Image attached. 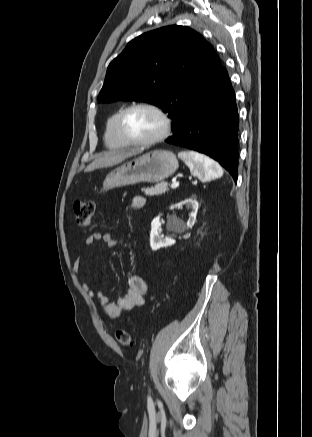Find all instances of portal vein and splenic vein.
Returning a JSON list of instances; mask_svg holds the SVG:
<instances>
[{"label":"portal vein and splenic vein","mask_w":312,"mask_h":437,"mask_svg":"<svg viewBox=\"0 0 312 437\" xmlns=\"http://www.w3.org/2000/svg\"><path fill=\"white\" fill-rule=\"evenodd\" d=\"M178 186H179V182H176V181L172 182V184H171V188H176Z\"/></svg>","instance_id":"1"}]
</instances>
